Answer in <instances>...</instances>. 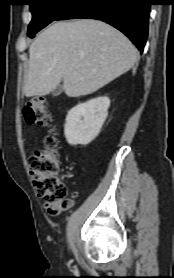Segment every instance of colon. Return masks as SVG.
<instances>
[{
    "label": "colon",
    "mask_w": 174,
    "mask_h": 278,
    "mask_svg": "<svg viewBox=\"0 0 174 278\" xmlns=\"http://www.w3.org/2000/svg\"><path fill=\"white\" fill-rule=\"evenodd\" d=\"M23 117L27 123L40 126H50L52 121L46 101L38 97L25 103ZM29 167L36 193L47 204H64L68 201V189L59 177L58 141L53 134L45 138L43 148L31 155Z\"/></svg>",
    "instance_id": "colon-1"
}]
</instances>
